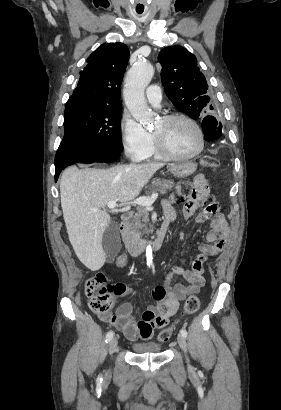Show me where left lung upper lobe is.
I'll return each mask as SVG.
<instances>
[{"label":"left lung upper lobe","mask_w":281,"mask_h":410,"mask_svg":"<svg viewBox=\"0 0 281 410\" xmlns=\"http://www.w3.org/2000/svg\"><path fill=\"white\" fill-rule=\"evenodd\" d=\"M158 61L162 65L165 92L176 108L193 119L202 117L208 108L213 109L207 95L206 79L193 54L181 46H171L160 51ZM219 134L221 136V130Z\"/></svg>","instance_id":"1"}]
</instances>
